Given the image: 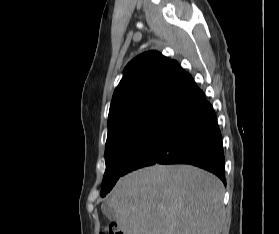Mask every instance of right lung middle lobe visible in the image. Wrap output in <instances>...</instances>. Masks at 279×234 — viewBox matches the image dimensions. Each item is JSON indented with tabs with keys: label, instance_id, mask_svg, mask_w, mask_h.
I'll use <instances>...</instances> for the list:
<instances>
[{
	"label": "right lung middle lobe",
	"instance_id": "obj_1",
	"mask_svg": "<svg viewBox=\"0 0 279 234\" xmlns=\"http://www.w3.org/2000/svg\"><path fill=\"white\" fill-rule=\"evenodd\" d=\"M170 107L147 106L122 113L108 120L105 146L106 171L101 196L104 197L124 173V168L143 140Z\"/></svg>",
	"mask_w": 279,
	"mask_h": 234
}]
</instances>
